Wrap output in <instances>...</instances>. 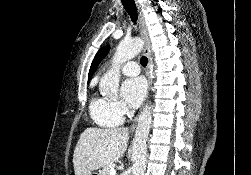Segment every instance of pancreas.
I'll use <instances>...</instances> for the list:
<instances>
[{"mask_svg": "<svg viewBox=\"0 0 251 175\" xmlns=\"http://www.w3.org/2000/svg\"><path fill=\"white\" fill-rule=\"evenodd\" d=\"M110 169H111V163H109V165H106V167H102L99 175H110Z\"/></svg>", "mask_w": 251, "mask_h": 175, "instance_id": "cf45deb5", "label": "pancreas"}]
</instances>
